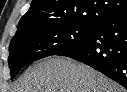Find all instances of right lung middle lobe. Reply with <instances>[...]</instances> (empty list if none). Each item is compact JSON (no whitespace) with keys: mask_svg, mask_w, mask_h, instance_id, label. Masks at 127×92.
Wrapping results in <instances>:
<instances>
[{"mask_svg":"<svg viewBox=\"0 0 127 92\" xmlns=\"http://www.w3.org/2000/svg\"><path fill=\"white\" fill-rule=\"evenodd\" d=\"M94 30L93 25L72 24L37 28L14 37L8 58L11 79L24 65L58 54L89 38Z\"/></svg>","mask_w":127,"mask_h":92,"instance_id":"obj_1","label":"right lung middle lobe"}]
</instances>
